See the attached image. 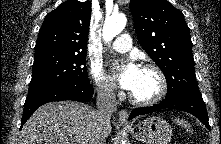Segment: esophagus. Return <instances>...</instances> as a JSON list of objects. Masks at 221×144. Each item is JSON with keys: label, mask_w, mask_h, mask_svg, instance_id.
Returning a JSON list of instances; mask_svg holds the SVG:
<instances>
[{"label": "esophagus", "mask_w": 221, "mask_h": 144, "mask_svg": "<svg viewBox=\"0 0 221 144\" xmlns=\"http://www.w3.org/2000/svg\"><path fill=\"white\" fill-rule=\"evenodd\" d=\"M118 117H119L120 124H123V125L128 124V112L126 110H124V109L120 110Z\"/></svg>", "instance_id": "obj_1"}]
</instances>
